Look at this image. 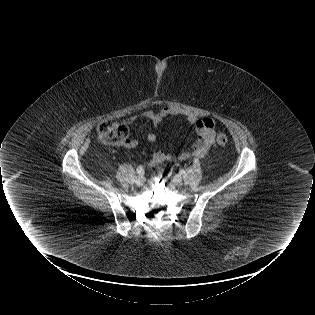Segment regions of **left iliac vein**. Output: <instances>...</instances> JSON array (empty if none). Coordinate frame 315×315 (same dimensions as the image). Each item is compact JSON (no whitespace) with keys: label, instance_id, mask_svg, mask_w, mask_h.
Wrapping results in <instances>:
<instances>
[{"label":"left iliac vein","instance_id":"left-iliac-vein-1","mask_svg":"<svg viewBox=\"0 0 315 315\" xmlns=\"http://www.w3.org/2000/svg\"><path fill=\"white\" fill-rule=\"evenodd\" d=\"M183 178L180 174H175L173 177H172V182L174 184H180L182 182Z\"/></svg>","mask_w":315,"mask_h":315}]
</instances>
